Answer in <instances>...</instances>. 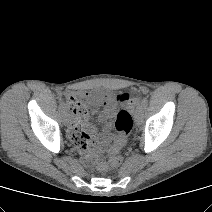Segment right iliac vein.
Here are the masks:
<instances>
[{"label":"right iliac vein","mask_w":212,"mask_h":212,"mask_svg":"<svg viewBox=\"0 0 212 212\" xmlns=\"http://www.w3.org/2000/svg\"><path fill=\"white\" fill-rule=\"evenodd\" d=\"M63 122L65 125L70 124V115L67 112H64L63 114Z\"/></svg>","instance_id":"63e3f726"}]
</instances>
